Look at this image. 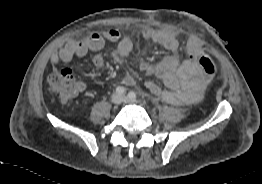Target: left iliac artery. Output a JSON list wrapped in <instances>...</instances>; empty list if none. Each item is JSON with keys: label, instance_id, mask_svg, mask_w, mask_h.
Masks as SVG:
<instances>
[{"label": "left iliac artery", "instance_id": "1", "mask_svg": "<svg viewBox=\"0 0 262 184\" xmlns=\"http://www.w3.org/2000/svg\"><path fill=\"white\" fill-rule=\"evenodd\" d=\"M128 97L131 98V99H135L136 98V93L131 91V92H129Z\"/></svg>", "mask_w": 262, "mask_h": 184}]
</instances>
